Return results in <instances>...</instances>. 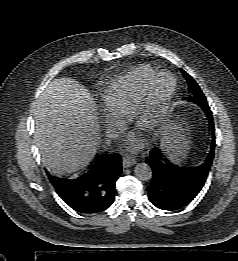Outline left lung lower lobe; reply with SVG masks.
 Wrapping results in <instances>:
<instances>
[{"label": "left lung lower lobe", "mask_w": 238, "mask_h": 261, "mask_svg": "<svg viewBox=\"0 0 238 261\" xmlns=\"http://www.w3.org/2000/svg\"><path fill=\"white\" fill-rule=\"evenodd\" d=\"M208 114L212 126V142L208 153L195 165H183L170 161L158 148L150 151L146 163L152 169L148 186V198L162 210H178L187 206L200 192L212 165L215 150V133L210 107L200 105Z\"/></svg>", "instance_id": "0a47b994"}]
</instances>
